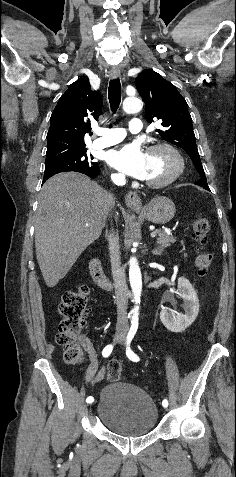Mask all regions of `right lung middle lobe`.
<instances>
[{
  "mask_svg": "<svg viewBox=\"0 0 236 477\" xmlns=\"http://www.w3.org/2000/svg\"><path fill=\"white\" fill-rule=\"evenodd\" d=\"M86 152L87 149H83L75 154L46 162L44 176L79 170L92 173L99 166L96 162H92L93 157L88 156Z\"/></svg>",
  "mask_w": 236,
  "mask_h": 477,
  "instance_id": "right-lung-middle-lobe-1",
  "label": "right lung middle lobe"
}]
</instances>
